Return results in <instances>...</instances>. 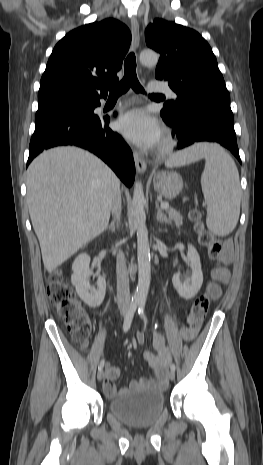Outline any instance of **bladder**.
<instances>
[{"mask_svg": "<svg viewBox=\"0 0 263 465\" xmlns=\"http://www.w3.org/2000/svg\"><path fill=\"white\" fill-rule=\"evenodd\" d=\"M164 408V394L152 388L121 393L108 403V411L114 418L134 428L154 425Z\"/></svg>", "mask_w": 263, "mask_h": 465, "instance_id": "1", "label": "bladder"}]
</instances>
